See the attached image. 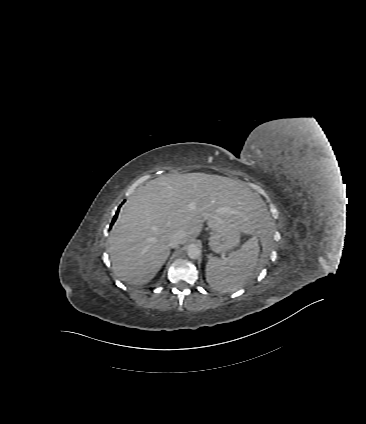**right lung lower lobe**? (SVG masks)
<instances>
[{
    "label": "right lung lower lobe",
    "mask_w": 366,
    "mask_h": 424,
    "mask_svg": "<svg viewBox=\"0 0 366 424\" xmlns=\"http://www.w3.org/2000/svg\"><path fill=\"white\" fill-rule=\"evenodd\" d=\"M117 216H118V212H116V215H115V216H114V218H113V221H112V223H111V226H112V225H113V223L115 222V220H116Z\"/></svg>",
    "instance_id": "right-lung-lower-lobe-1"
}]
</instances>
